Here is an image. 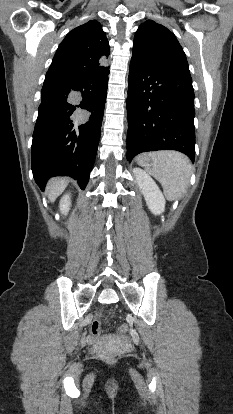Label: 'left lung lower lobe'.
<instances>
[{
    "instance_id": "left-lung-lower-lobe-1",
    "label": "left lung lower lobe",
    "mask_w": 233,
    "mask_h": 414,
    "mask_svg": "<svg viewBox=\"0 0 233 414\" xmlns=\"http://www.w3.org/2000/svg\"><path fill=\"white\" fill-rule=\"evenodd\" d=\"M127 160L141 152L177 150L195 158L191 76L164 72L132 58L127 98Z\"/></svg>"
}]
</instances>
